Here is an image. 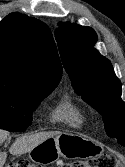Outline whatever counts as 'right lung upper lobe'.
I'll return each mask as SVG.
<instances>
[{"mask_svg": "<svg viewBox=\"0 0 125 167\" xmlns=\"http://www.w3.org/2000/svg\"><path fill=\"white\" fill-rule=\"evenodd\" d=\"M62 66L50 29L11 13L0 22V91L29 94L56 87Z\"/></svg>", "mask_w": 125, "mask_h": 167, "instance_id": "obj_1", "label": "right lung upper lobe"}]
</instances>
